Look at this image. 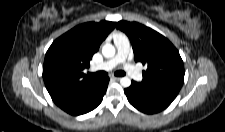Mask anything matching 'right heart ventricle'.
I'll list each match as a JSON object with an SVG mask.
<instances>
[{"mask_svg": "<svg viewBox=\"0 0 225 132\" xmlns=\"http://www.w3.org/2000/svg\"><path fill=\"white\" fill-rule=\"evenodd\" d=\"M120 36H123L122 34H115L114 38H117V37H120Z\"/></svg>", "mask_w": 225, "mask_h": 132, "instance_id": "obj_1", "label": "right heart ventricle"}]
</instances>
